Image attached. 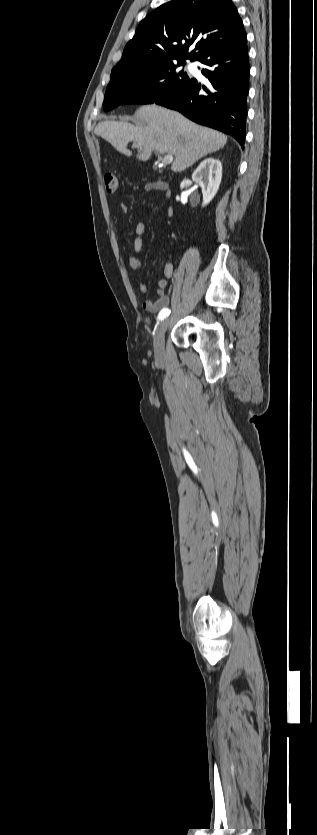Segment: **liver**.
Instances as JSON below:
<instances>
[{"instance_id": "liver-1", "label": "liver", "mask_w": 317, "mask_h": 835, "mask_svg": "<svg viewBox=\"0 0 317 835\" xmlns=\"http://www.w3.org/2000/svg\"><path fill=\"white\" fill-rule=\"evenodd\" d=\"M135 117L145 124L105 120L97 124L94 133L109 142L120 153L130 156L129 141L139 148L136 158L150 159L153 151L174 156L173 172H182L202 157L216 152L227 143V136L198 125L182 114L155 104L140 107Z\"/></svg>"}]
</instances>
